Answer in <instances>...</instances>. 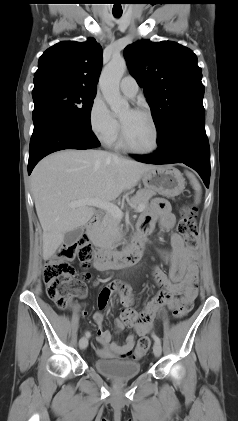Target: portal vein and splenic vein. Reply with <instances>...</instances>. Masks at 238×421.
Segmentation results:
<instances>
[{
  "instance_id": "portal-vein-and-splenic-vein-1",
  "label": "portal vein and splenic vein",
  "mask_w": 238,
  "mask_h": 421,
  "mask_svg": "<svg viewBox=\"0 0 238 421\" xmlns=\"http://www.w3.org/2000/svg\"><path fill=\"white\" fill-rule=\"evenodd\" d=\"M81 206H95L107 211L108 213L112 214L114 217L118 219H122L123 217V212L118 206L107 201H102L98 198L91 199V200H78V201H73L69 203L70 208H77ZM143 210L144 208L142 206L136 208V212H141Z\"/></svg>"
}]
</instances>
